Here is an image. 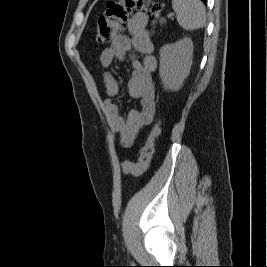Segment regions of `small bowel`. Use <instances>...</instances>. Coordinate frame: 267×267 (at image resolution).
I'll list each match as a JSON object with an SVG mask.
<instances>
[{
  "label": "small bowel",
  "mask_w": 267,
  "mask_h": 267,
  "mask_svg": "<svg viewBox=\"0 0 267 267\" xmlns=\"http://www.w3.org/2000/svg\"><path fill=\"white\" fill-rule=\"evenodd\" d=\"M147 16L138 12L128 22L127 35H118L111 45L100 54V63L103 68L108 69L114 60L123 61L128 55L131 58L132 76L128 82V93L132 98L139 99L141 108L133 110L124 119L116 103L119 95V83L114 75L105 71L103 81L108 98L104 101V112L107 121L120 140L124 148L131 147L142 130L152 123L155 105V86L152 74L156 70L157 61L153 55L154 46L151 42L149 32L146 29ZM135 50L145 55L143 61L132 55Z\"/></svg>",
  "instance_id": "small-bowel-1"
}]
</instances>
